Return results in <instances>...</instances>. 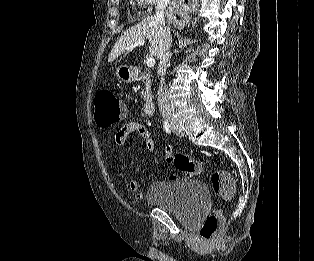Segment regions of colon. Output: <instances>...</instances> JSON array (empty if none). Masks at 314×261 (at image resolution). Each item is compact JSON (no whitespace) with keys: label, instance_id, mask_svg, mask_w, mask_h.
Returning <instances> with one entry per match:
<instances>
[{"label":"colon","instance_id":"1","mask_svg":"<svg viewBox=\"0 0 314 261\" xmlns=\"http://www.w3.org/2000/svg\"><path fill=\"white\" fill-rule=\"evenodd\" d=\"M125 117V106L110 90H101L95 96V121L100 127H109L121 122ZM186 177L197 176L202 173V165L189 155L176 154L166 158ZM174 178V177H173ZM211 186L222 199L228 200L235 194L236 186L231 174L226 170H216L211 175ZM223 220L221 210H215L202 223L200 236L205 241L214 240L220 231Z\"/></svg>","mask_w":314,"mask_h":261}]
</instances>
